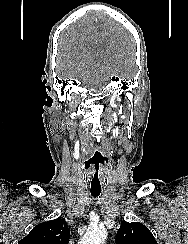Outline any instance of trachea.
Returning a JSON list of instances; mask_svg holds the SVG:
<instances>
[{
    "mask_svg": "<svg viewBox=\"0 0 188 244\" xmlns=\"http://www.w3.org/2000/svg\"><path fill=\"white\" fill-rule=\"evenodd\" d=\"M96 177V174H95ZM91 195L93 197H98L100 193L103 191V181L102 180H92L90 183Z\"/></svg>",
    "mask_w": 188,
    "mask_h": 244,
    "instance_id": "1",
    "label": "trachea"
}]
</instances>
